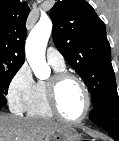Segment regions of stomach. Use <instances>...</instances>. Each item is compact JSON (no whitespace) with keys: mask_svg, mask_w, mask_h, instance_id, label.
<instances>
[{"mask_svg":"<svg viewBox=\"0 0 119 141\" xmlns=\"http://www.w3.org/2000/svg\"><path fill=\"white\" fill-rule=\"evenodd\" d=\"M45 141H81V139L74 128L64 126L61 129L47 135Z\"/></svg>","mask_w":119,"mask_h":141,"instance_id":"0dacf381","label":"stomach"}]
</instances>
